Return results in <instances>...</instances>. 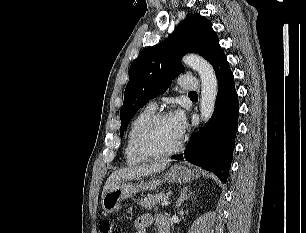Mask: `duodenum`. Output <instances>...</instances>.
Listing matches in <instances>:
<instances>
[{
    "instance_id": "1",
    "label": "duodenum",
    "mask_w": 306,
    "mask_h": 233,
    "mask_svg": "<svg viewBox=\"0 0 306 233\" xmlns=\"http://www.w3.org/2000/svg\"><path fill=\"white\" fill-rule=\"evenodd\" d=\"M160 233H169V226H168V224L163 225V226L160 228Z\"/></svg>"
}]
</instances>
